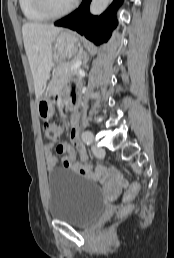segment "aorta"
Masks as SVG:
<instances>
[{
    "label": "aorta",
    "instance_id": "1",
    "mask_svg": "<svg viewBox=\"0 0 174 258\" xmlns=\"http://www.w3.org/2000/svg\"><path fill=\"white\" fill-rule=\"evenodd\" d=\"M110 0H92L90 4V13L100 15L108 6Z\"/></svg>",
    "mask_w": 174,
    "mask_h": 258
}]
</instances>
